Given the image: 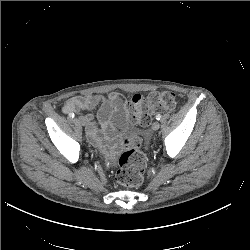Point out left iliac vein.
I'll return each mask as SVG.
<instances>
[{
  "mask_svg": "<svg viewBox=\"0 0 250 250\" xmlns=\"http://www.w3.org/2000/svg\"><path fill=\"white\" fill-rule=\"evenodd\" d=\"M160 127V124L158 121H155L153 124H152V130L156 131L158 130Z\"/></svg>",
  "mask_w": 250,
  "mask_h": 250,
  "instance_id": "obj_1",
  "label": "left iliac vein"
}]
</instances>
